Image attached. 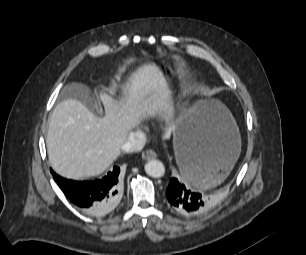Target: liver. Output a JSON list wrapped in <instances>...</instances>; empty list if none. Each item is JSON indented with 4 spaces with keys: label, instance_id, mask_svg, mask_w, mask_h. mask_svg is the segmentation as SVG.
<instances>
[{
    "label": "liver",
    "instance_id": "obj_1",
    "mask_svg": "<svg viewBox=\"0 0 306 255\" xmlns=\"http://www.w3.org/2000/svg\"><path fill=\"white\" fill-rule=\"evenodd\" d=\"M170 92L151 66L134 73L115 100L106 93L99 98L105 116L95 115L84 102H60L49 119L46 145L53 170L69 179L97 176L119 156L120 147L142 121L166 114V135L175 129Z\"/></svg>",
    "mask_w": 306,
    "mask_h": 255
}]
</instances>
